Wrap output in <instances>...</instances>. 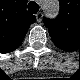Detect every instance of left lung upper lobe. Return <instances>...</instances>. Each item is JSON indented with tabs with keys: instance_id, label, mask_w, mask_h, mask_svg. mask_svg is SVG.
I'll return each mask as SVG.
<instances>
[{
	"instance_id": "5c2ea615",
	"label": "left lung upper lobe",
	"mask_w": 80,
	"mask_h": 80,
	"mask_svg": "<svg viewBox=\"0 0 80 80\" xmlns=\"http://www.w3.org/2000/svg\"><path fill=\"white\" fill-rule=\"evenodd\" d=\"M44 25L48 28L49 34L55 43H63V45L68 46L71 39H74L73 36L79 38L77 29L80 27V22L73 16L68 2L64 0H60L59 16L55 20L45 19Z\"/></svg>"
}]
</instances>
